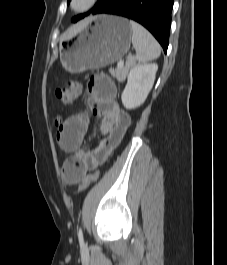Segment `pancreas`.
Instances as JSON below:
<instances>
[{"label": "pancreas", "mask_w": 227, "mask_h": 265, "mask_svg": "<svg viewBox=\"0 0 227 265\" xmlns=\"http://www.w3.org/2000/svg\"><path fill=\"white\" fill-rule=\"evenodd\" d=\"M131 67V63L127 62L123 67H117L115 70L110 69V73L113 77H115L118 81L123 82L126 79L128 71Z\"/></svg>", "instance_id": "pancreas-1"}]
</instances>
